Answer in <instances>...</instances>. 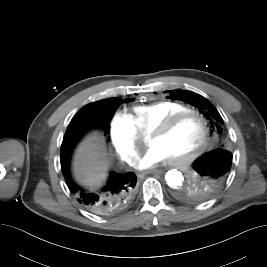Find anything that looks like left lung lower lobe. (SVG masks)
<instances>
[{"label": "left lung lower lobe", "instance_id": "1", "mask_svg": "<svg viewBox=\"0 0 267 267\" xmlns=\"http://www.w3.org/2000/svg\"><path fill=\"white\" fill-rule=\"evenodd\" d=\"M234 163L230 151L214 150L197 162L187 165L184 176L190 184L185 187L183 199L206 200L217 193L233 171Z\"/></svg>", "mask_w": 267, "mask_h": 267}]
</instances>
